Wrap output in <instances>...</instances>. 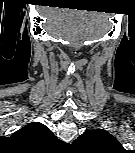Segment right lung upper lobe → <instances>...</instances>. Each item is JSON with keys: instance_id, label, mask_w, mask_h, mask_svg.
Segmentation results:
<instances>
[{"instance_id": "cb5924a9", "label": "right lung upper lobe", "mask_w": 135, "mask_h": 153, "mask_svg": "<svg viewBox=\"0 0 135 153\" xmlns=\"http://www.w3.org/2000/svg\"><path fill=\"white\" fill-rule=\"evenodd\" d=\"M13 136L35 147H45L59 141L44 124L38 122L29 123Z\"/></svg>"}]
</instances>
